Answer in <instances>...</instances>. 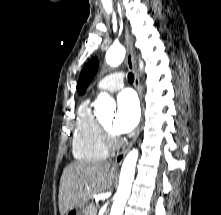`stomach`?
I'll use <instances>...</instances> for the list:
<instances>
[{
    "mask_svg": "<svg viewBox=\"0 0 221 215\" xmlns=\"http://www.w3.org/2000/svg\"><path fill=\"white\" fill-rule=\"evenodd\" d=\"M84 207H78L73 210H70L66 213V215H84Z\"/></svg>",
    "mask_w": 221,
    "mask_h": 215,
    "instance_id": "stomach-1",
    "label": "stomach"
}]
</instances>
